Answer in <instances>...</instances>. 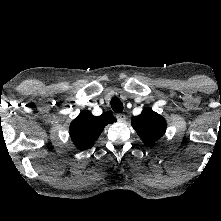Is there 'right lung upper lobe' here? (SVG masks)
<instances>
[{"label":"right lung upper lobe","instance_id":"obj_1","mask_svg":"<svg viewBox=\"0 0 221 221\" xmlns=\"http://www.w3.org/2000/svg\"><path fill=\"white\" fill-rule=\"evenodd\" d=\"M114 122H116V118L111 113H104L96 117L89 111H83L71 122V139L80 150L90 148L94 145L104 127Z\"/></svg>","mask_w":221,"mask_h":221}]
</instances>
